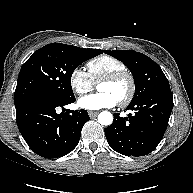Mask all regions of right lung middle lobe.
Here are the masks:
<instances>
[{
	"instance_id": "obj_1",
	"label": "right lung middle lobe",
	"mask_w": 193,
	"mask_h": 193,
	"mask_svg": "<svg viewBox=\"0 0 193 193\" xmlns=\"http://www.w3.org/2000/svg\"><path fill=\"white\" fill-rule=\"evenodd\" d=\"M100 53L94 49L51 43L37 50L22 66L18 76L14 103L37 94H53L69 99L73 71Z\"/></svg>"
}]
</instances>
